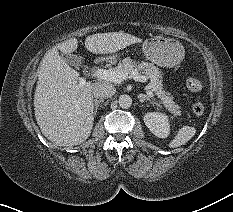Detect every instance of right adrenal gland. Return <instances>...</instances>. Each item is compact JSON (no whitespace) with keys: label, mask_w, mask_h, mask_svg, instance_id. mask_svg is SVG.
I'll return each mask as SVG.
<instances>
[{"label":"right adrenal gland","mask_w":233,"mask_h":212,"mask_svg":"<svg viewBox=\"0 0 233 212\" xmlns=\"http://www.w3.org/2000/svg\"><path fill=\"white\" fill-rule=\"evenodd\" d=\"M102 102H104V99H95L94 100V114L97 113L99 104L102 103Z\"/></svg>","instance_id":"obj_1"}]
</instances>
